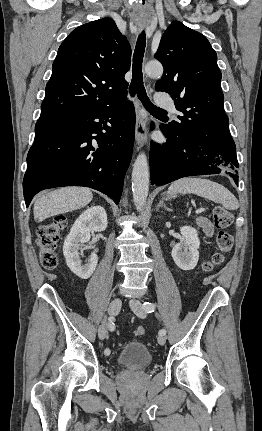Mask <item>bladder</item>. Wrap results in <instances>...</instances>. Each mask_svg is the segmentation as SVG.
Instances as JSON below:
<instances>
[{
    "label": "bladder",
    "instance_id": "1",
    "mask_svg": "<svg viewBox=\"0 0 262 431\" xmlns=\"http://www.w3.org/2000/svg\"><path fill=\"white\" fill-rule=\"evenodd\" d=\"M152 356L148 348L140 341L126 343L117 354V362L127 370H137L149 365Z\"/></svg>",
    "mask_w": 262,
    "mask_h": 431
}]
</instances>
